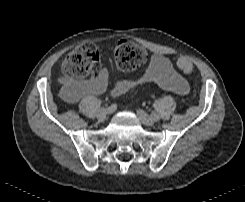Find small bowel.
<instances>
[{
  "instance_id": "obj_1",
  "label": "small bowel",
  "mask_w": 245,
  "mask_h": 202,
  "mask_svg": "<svg viewBox=\"0 0 245 202\" xmlns=\"http://www.w3.org/2000/svg\"><path fill=\"white\" fill-rule=\"evenodd\" d=\"M185 62L190 61L187 58L179 57L176 65L181 69ZM145 83H155L175 94H185L189 90L187 80L176 72L172 63L161 55H154L151 57L144 73L136 79L122 80L110 84L109 73L103 69L92 79L77 80L65 104H78L83 99H89L92 96L104 93L107 89H109L112 96H119L129 89Z\"/></svg>"
}]
</instances>
